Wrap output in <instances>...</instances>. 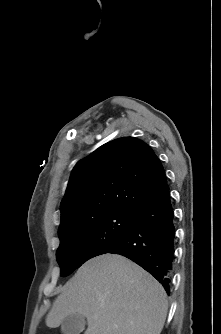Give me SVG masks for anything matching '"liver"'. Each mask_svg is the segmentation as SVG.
I'll list each match as a JSON object with an SVG mask.
<instances>
[{"label":"liver","instance_id":"liver-1","mask_svg":"<svg viewBox=\"0 0 221 334\" xmlns=\"http://www.w3.org/2000/svg\"><path fill=\"white\" fill-rule=\"evenodd\" d=\"M168 311L161 284L118 254L84 263L65 285L46 316L49 328L71 314L87 319L85 334H160Z\"/></svg>","mask_w":221,"mask_h":334}]
</instances>
